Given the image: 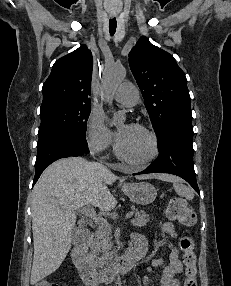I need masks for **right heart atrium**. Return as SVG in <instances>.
<instances>
[{"mask_svg":"<svg viewBox=\"0 0 231 286\" xmlns=\"http://www.w3.org/2000/svg\"><path fill=\"white\" fill-rule=\"evenodd\" d=\"M86 143L94 154L107 152L113 143L112 134L100 113L92 112L89 115L86 125Z\"/></svg>","mask_w":231,"mask_h":286,"instance_id":"right-heart-atrium-1","label":"right heart atrium"}]
</instances>
